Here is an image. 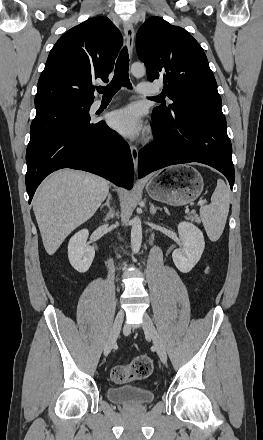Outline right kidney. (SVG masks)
<instances>
[{
    "label": "right kidney",
    "mask_w": 263,
    "mask_h": 440,
    "mask_svg": "<svg viewBox=\"0 0 263 440\" xmlns=\"http://www.w3.org/2000/svg\"><path fill=\"white\" fill-rule=\"evenodd\" d=\"M88 236L89 231L83 229L77 232L68 244L69 262L79 273L88 271L95 256L94 248L86 243Z\"/></svg>",
    "instance_id": "obj_1"
}]
</instances>
